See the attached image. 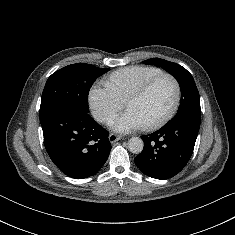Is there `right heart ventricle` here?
I'll return each mask as SVG.
<instances>
[{
  "label": "right heart ventricle",
  "mask_w": 235,
  "mask_h": 235,
  "mask_svg": "<svg viewBox=\"0 0 235 235\" xmlns=\"http://www.w3.org/2000/svg\"><path fill=\"white\" fill-rule=\"evenodd\" d=\"M162 70L149 66H130L113 72L107 81L116 95L126 99L151 78L162 74Z\"/></svg>",
  "instance_id": "e07e8e85"
}]
</instances>
